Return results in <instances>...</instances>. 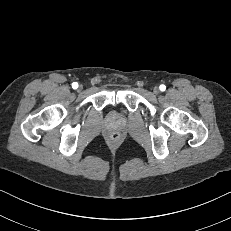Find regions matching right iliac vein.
Returning <instances> with one entry per match:
<instances>
[{
    "instance_id": "63e3f726",
    "label": "right iliac vein",
    "mask_w": 231,
    "mask_h": 231,
    "mask_svg": "<svg viewBox=\"0 0 231 231\" xmlns=\"http://www.w3.org/2000/svg\"><path fill=\"white\" fill-rule=\"evenodd\" d=\"M82 88H83V86H82V85H80V86H79V88H78V90H79V91H81V90H82Z\"/></svg>"
}]
</instances>
